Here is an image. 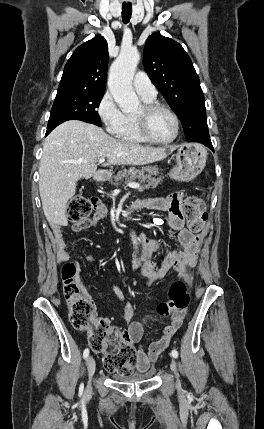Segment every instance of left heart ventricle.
<instances>
[{
    "label": "left heart ventricle",
    "mask_w": 264,
    "mask_h": 429,
    "mask_svg": "<svg viewBox=\"0 0 264 429\" xmlns=\"http://www.w3.org/2000/svg\"><path fill=\"white\" fill-rule=\"evenodd\" d=\"M142 113V108L137 112L136 116ZM150 134L156 140L164 141L170 139L175 132V123L172 117L164 112H154L148 120Z\"/></svg>",
    "instance_id": "left-heart-ventricle-1"
}]
</instances>
